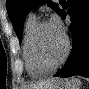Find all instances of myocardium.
Returning a JSON list of instances; mask_svg holds the SVG:
<instances>
[{
	"mask_svg": "<svg viewBox=\"0 0 89 89\" xmlns=\"http://www.w3.org/2000/svg\"><path fill=\"white\" fill-rule=\"evenodd\" d=\"M50 23L48 20H43L40 21L36 28L35 31L33 33L32 36V53H33V57L38 65L39 68L46 70L47 72H52L54 71L56 68H58L67 58L68 52H69V40L68 38L64 35V50L62 55L60 56V58L53 64H47L45 63V61L43 60L41 54H40V50H39V38H40V34L42 32V29L44 27V25Z\"/></svg>",
	"mask_w": 89,
	"mask_h": 89,
	"instance_id": "f54148a6",
	"label": "myocardium"
}]
</instances>
